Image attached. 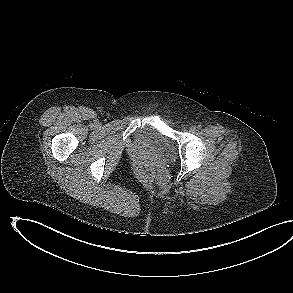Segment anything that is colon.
Returning <instances> with one entry per match:
<instances>
[{"label":"colon","instance_id":"1","mask_svg":"<svg viewBox=\"0 0 293 293\" xmlns=\"http://www.w3.org/2000/svg\"><path fill=\"white\" fill-rule=\"evenodd\" d=\"M142 176L145 180H151L154 177V171L151 167H144L142 170Z\"/></svg>","mask_w":293,"mask_h":293}]
</instances>
